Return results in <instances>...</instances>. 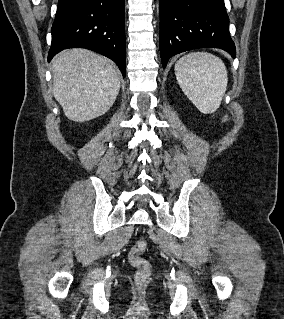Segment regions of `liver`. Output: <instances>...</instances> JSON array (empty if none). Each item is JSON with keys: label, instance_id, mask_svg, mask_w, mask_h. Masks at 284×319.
I'll return each mask as SVG.
<instances>
[{"label": "liver", "instance_id": "liver-1", "mask_svg": "<svg viewBox=\"0 0 284 319\" xmlns=\"http://www.w3.org/2000/svg\"><path fill=\"white\" fill-rule=\"evenodd\" d=\"M52 73L54 97L72 121L85 122L103 115L119 93L118 68L87 49L59 53L53 61Z\"/></svg>", "mask_w": 284, "mask_h": 319}]
</instances>
